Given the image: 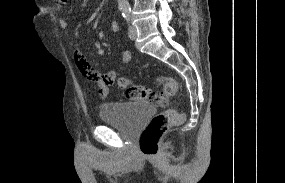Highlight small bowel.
<instances>
[{
  "label": "small bowel",
  "mask_w": 285,
  "mask_h": 183,
  "mask_svg": "<svg viewBox=\"0 0 285 183\" xmlns=\"http://www.w3.org/2000/svg\"><path fill=\"white\" fill-rule=\"evenodd\" d=\"M60 27L65 30L68 27V22L66 19L62 18L59 21ZM114 31H118L119 27L116 23L112 26ZM94 48L96 51V54L98 56H102L105 53V50L103 48V45L100 42L94 43ZM75 60L77 65L80 63L87 64L90 69L92 70L93 74L95 75V79L91 80L96 83L98 88V95L100 98L105 99L107 98L109 94V87L114 83L116 78V72L114 70L106 71V72H99L96 69H94L84 58V56L80 53V51H76ZM131 60V53L129 51H124L122 54V61L121 64L125 65L129 63Z\"/></svg>",
  "instance_id": "small-bowel-1"
}]
</instances>
